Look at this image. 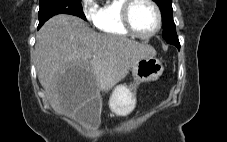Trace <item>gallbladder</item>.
Returning <instances> with one entry per match:
<instances>
[{"label":"gallbladder","mask_w":227,"mask_h":142,"mask_svg":"<svg viewBox=\"0 0 227 142\" xmlns=\"http://www.w3.org/2000/svg\"><path fill=\"white\" fill-rule=\"evenodd\" d=\"M102 101L99 98H94L87 102L76 114L79 120L85 122H99Z\"/></svg>","instance_id":"obj_1"}]
</instances>
